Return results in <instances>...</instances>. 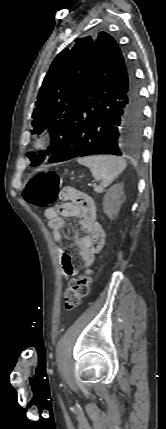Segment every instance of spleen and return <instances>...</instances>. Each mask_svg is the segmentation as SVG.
<instances>
[{"label":"spleen","mask_w":166,"mask_h":429,"mask_svg":"<svg viewBox=\"0 0 166 429\" xmlns=\"http://www.w3.org/2000/svg\"><path fill=\"white\" fill-rule=\"evenodd\" d=\"M77 162L88 167L96 181L109 186L126 168L123 158L112 155H96L79 158Z\"/></svg>","instance_id":"obj_1"}]
</instances>
